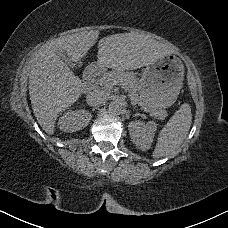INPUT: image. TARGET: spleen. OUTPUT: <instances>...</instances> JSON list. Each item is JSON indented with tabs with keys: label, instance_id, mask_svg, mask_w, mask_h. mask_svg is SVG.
Segmentation results:
<instances>
[{
	"label": "spleen",
	"instance_id": "spleen-1",
	"mask_svg": "<svg viewBox=\"0 0 228 228\" xmlns=\"http://www.w3.org/2000/svg\"><path fill=\"white\" fill-rule=\"evenodd\" d=\"M191 123V107L184 103L160 131L153 157H175L180 152V146L188 134Z\"/></svg>",
	"mask_w": 228,
	"mask_h": 228
}]
</instances>
